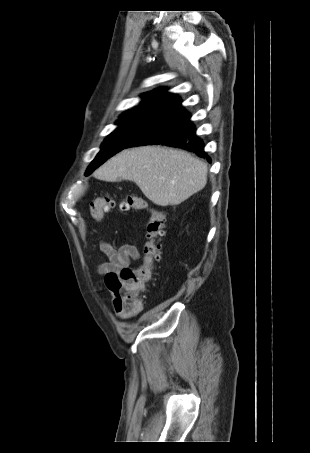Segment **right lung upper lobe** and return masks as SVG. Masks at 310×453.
<instances>
[{"label":"right lung upper lobe","instance_id":"right-lung-upper-lobe-1","mask_svg":"<svg viewBox=\"0 0 310 453\" xmlns=\"http://www.w3.org/2000/svg\"><path fill=\"white\" fill-rule=\"evenodd\" d=\"M145 99L131 110L126 111L121 117H154L158 118L168 109L179 103L180 98L166 89H158L156 92H149L144 95Z\"/></svg>","mask_w":310,"mask_h":453}]
</instances>
